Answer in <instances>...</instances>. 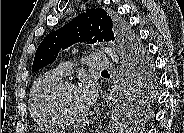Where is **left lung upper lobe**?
<instances>
[{"instance_id": "1", "label": "left lung upper lobe", "mask_w": 184, "mask_h": 133, "mask_svg": "<svg viewBox=\"0 0 184 133\" xmlns=\"http://www.w3.org/2000/svg\"><path fill=\"white\" fill-rule=\"evenodd\" d=\"M115 40L124 59L126 74L122 103L127 110L134 109L141 101L146 87L153 82L152 63L127 24L110 16L102 8L86 10L65 26L49 33L36 50L32 72L52 63L60 49L77 42L93 44Z\"/></svg>"}]
</instances>
